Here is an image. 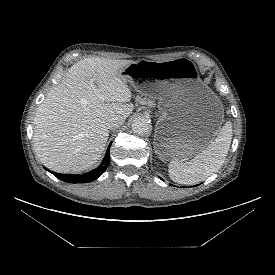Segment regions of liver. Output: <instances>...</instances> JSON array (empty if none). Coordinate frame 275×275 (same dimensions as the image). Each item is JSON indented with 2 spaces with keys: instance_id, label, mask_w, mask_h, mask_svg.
Listing matches in <instances>:
<instances>
[{
  "instance_id": "obj_1",
  "label": "liver",
  "mask_w": 275,
  "mask_h": 275,
  "mask_svg": "<svg viewBox=\"0 0 275 275\" xmlns=\"http://www.w3.org/2000/svg\"><path fill=\"white\" fill-rule=\"evenodd\" d=\"M131 60L85 58L66 73L46 96L34 118V149L41 162L59 173L81 172L98 162L109 136L107 119H126L133 111L132 93L123 68ZM93 80L104 96L90 87Z\"/></svg>"
}]
</instances>
